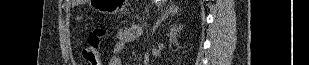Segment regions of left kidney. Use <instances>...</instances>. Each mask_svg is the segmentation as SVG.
<instances>
[{
	"label": "left kidney",
	"mask_w": 309,
	"mask_h": 65,
	"mask_svg": "<svg viewBox=\"0 0 309 65\" xmlns=\"http://www.w3.org/2000/svg\"><path fill=\"white\" fill-rule=\"evenodd\" d=\"M181 26H176V25H172L170 28V33L168 34L169 36V41L173 44H177L178 40H177V36L179 35L180 31H181Z\"/></svg>",
	"instance_id": "left-kidney-1"
}]
</instances>
